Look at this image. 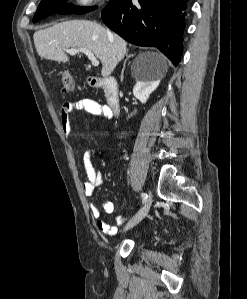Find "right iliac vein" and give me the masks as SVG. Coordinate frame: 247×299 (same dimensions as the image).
<instances>
[{
  "instance_id": "right-iliac-vein-1",
  "label": "right iliac vein",
  "mask_w": 247,
  "mask_h": 299,
  "mask_svg": "<svg viewBox=\"0 0 247 299\" xmlns=\"http://www.w3.org/2000/svg\"><path fill=\"white\" fill-rule=\"evenodd\" d=\"M152 202V197L149 195L148 200L146 201L145 205L137 212V214L126 224L124 230H129L135 225H137L139 222L142 221V219L147 215L150 206Z\"/></svg>"
}]
</instances>
